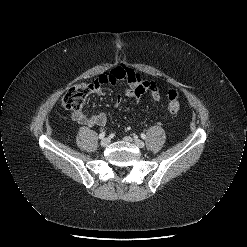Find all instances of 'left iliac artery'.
I'll list each match as a JSON object with an SVG mask.
<instances>
[{
    "label": "left iliac artery",
    "mask_w": 247,
    "mask_h": 247,
    "mask_svg": "<svg viewBox=\"0 0 247 247\" xmlns=\"http://www.w3.org/2000/svg\"><path fill=\"white\" fill-rule=\"evenodd\" d=\"M141 138L142 139H145L146 138V135L145 134H141Z\"/></svg>",
    "instance_id": "obj_1"
}]
</instances>
